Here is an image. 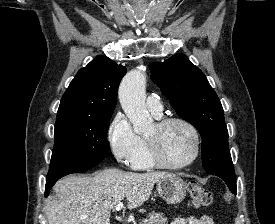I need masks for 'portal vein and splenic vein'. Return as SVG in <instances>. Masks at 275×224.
I'll return each instance as SVG.
<instances>
[{"instance_id":"18ae733b","label":"portal vein and splenic vein","mask_w":275,"mask_h":224,"mask_svg":"<svg viewBox=\"0 0 275 224\" xmlns=\"http://www.w3.org/2000/svg\"><path fill=\"white\" fill-rule=\"evenodd\" d=\"M123 207H124L123 203L120 202V203H118V204L115 206V210H116V211H120Z\"/></svg>"}]
</instances>
